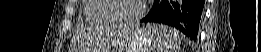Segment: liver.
Returning a JSON list of instances; mask_svg holds the SVG:
<instances>
[{
	"label": "liver",
	"mask_w": 261,
	"mask_h": 52,
	"mask_svg": "<svg viewBox=\"0 0 261 52\" xmlns=\"http://www.w3.org/2000/svg\"><path fill=\"white\" fill-rule=\"evenodd\" d=\"M128 28H133L131 26H127ZM122 35L120 30L111 29L106 32L105 36L103 37V41L101 42V49L100 50H109L111 47H116V37Z\"/></svg>",
	"instance_id": "1"
}]
</instances>
